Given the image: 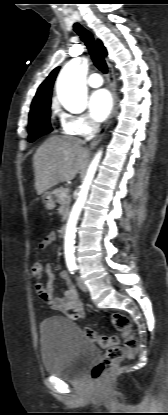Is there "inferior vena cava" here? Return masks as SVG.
Wrapping results in <instances>:
<instances>
[{
  "instance_id": "obj_1",
  "label": "inferior vena cava",
  "mask_w": 168,
  "mask_h": 415,
  "mask_svg": "<svg viewBox=\"0 0 168 415\" xmlns=\"http://www.w3.org/2000/svg\"><path fill=\"white\" fill-rule=\"evenodd\" d=\"M99 130V124L92 122L91 123V130L89 132V134L85 137L84 142L86 141H90L91 139L94 138L95 134L98 132Z\"/></svg>"
}]
</instances>
